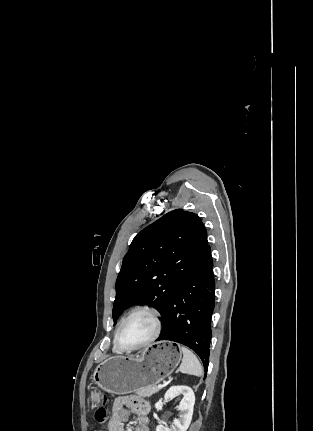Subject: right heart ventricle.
Returning a JSON list of instances; mask_svg holds the SVG:
<instances>
[{
  "instance_id": "right-heart-ventricle-1",
  "label": "right heart ventricle",
  "mask_w": 313,
  "mask_h": 431,
  "mask_svg": "<svg viewBox=\"0 0 313 431\" xmlns=\"http://www.w3.org/2000/svg\"><path fill=\"white\" fill-rule=\"evenodd\" d=\"M113 349H114V351H118V349L116 348L115 344H114Z\"/></svg>"
}]
</instances>
